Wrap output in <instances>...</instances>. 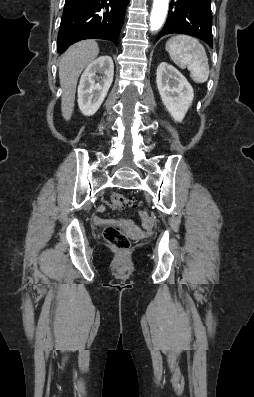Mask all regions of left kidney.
Returning <instances> with one entry per match:
<instances>
[{"label": "left kidney", "instance_id": "left-kidney-1", "mask_svg": "<svg viewBox=\"0 0 254 397\" xmlns=\"http://www.w3.org/2000/svg\"><path fill=\"white\" fill-rule=\"evenodd\" d=\"M156 83L162 102L172 118L181 122L192 104L194 92L187 79L172 65L162 62Z\"/></svg>", "mask_w": 254, "mask_h": 397}]
</instances>
